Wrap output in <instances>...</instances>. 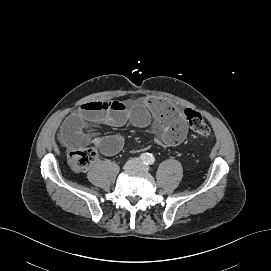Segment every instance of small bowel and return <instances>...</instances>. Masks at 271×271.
Here are the masks:
<instances>
[{
	"label": "small bowel",
	"mask_w": 271,
	"mask_h": 271,
	"mask_svg": "<svg viewBox=\"0 0 271 271\" xmlns=\"http://www.w3.org/2000/svg\"><path fill=\"white\" fill-rule=\"evenodd\" d=\"M151 115L161 130V142L164 146L173 147L185 139L187 134L185 117L176 108L158 99L141 100L131 110L120 101L87 102L63 122L59 137L67 147L93 144L104 155L112 156L122 149L124 144L122 136L114 134L91 138L86 131L87 123L119 127L130 121L138 127H145L150 122Z\"/></svg>",
	"instance_id": "small-bowel-1"
}]
</instances>
